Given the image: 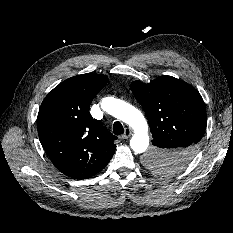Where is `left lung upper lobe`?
<instances>
[{
  "label": "left lung upper lobe",
  "instance_id": "obj_1",
  "mask_svg": "<svg viewBox=\"0 0 233 233\" xmlns=\"http://www.w3.org/2000/svg\"><path fill=\"white\" fill-rule=\"evenodd\" d=\"M131 90L145 111L153 137V147L144 157V164L162 173L181 170L190 160L183 164L168 162L171 152L156 145L154 139L167 135L188 139L193 157L207 125L201 95L188 83L172 76H161L149 84L134 81Z\"/></svg>",
  "mask_w": 233,
  "mask_h": 233
}]
</instances>
